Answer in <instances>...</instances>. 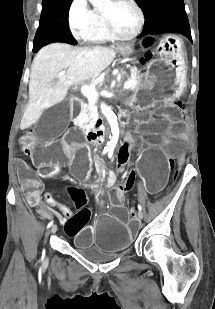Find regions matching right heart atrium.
Wrapping results in <instances>:
<instances>
[{"label":"right heart atrium","mask_w":215,"mask_h":309,"mask_svg":"<svg viewBox=\"0 0 215 309\" xmlns=\"http://www.w3.org/2000/svg\"><path fill=\"white\" fill-rule=\"evenodd\" d=\"M86 0H73V6L69 11V25L77 38H86L87 29H92L97 20V15L92 14L91 10L86 7Z\"/></svg>","instance_id":"1"}]
</instances>
